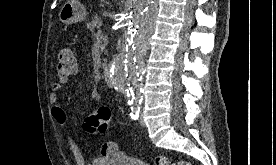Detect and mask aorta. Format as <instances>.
I'll return each instance as SVG.
<instances>
[{"mask_svg": "<svg viewBox=\"0 0 276 165\" xmlns=\"http://www.w3.org/2000/svg\"><path fill=\"white\" fill-rule=\"evenodd\" d=\"M128 30L121 52L108 66L113 87L125 91L132 102L142 97L143 56L155 30L158 0H131Z\"/></svg>", "mask_w": 276, "mask_h": 165, "instance_id": "1", "label": "aorta"}]
</instances>
